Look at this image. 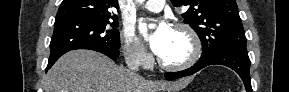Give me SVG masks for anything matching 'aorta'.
<instances>
[{
  "instance_id": "aorta-1",
  "label": "aorta",
  "mask_w": 289,
  "mask_h": 92,
  "mask_svg": "<svg viewBox=\"0 0 289 92\" xmlns=\"http://www.w3.org/2000/svg\"><path fill=\"white\" fill-rule=\"evenodd\" d=\"M143 0H139V2L141 3Z\"/></svg>"
}]
</instances>
